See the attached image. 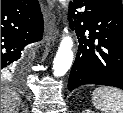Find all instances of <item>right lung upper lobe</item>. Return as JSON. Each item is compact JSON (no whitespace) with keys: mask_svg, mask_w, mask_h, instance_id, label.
Listing matches in <instances>:
<instances>
[{"mask_svg":"<svg viewBox=\"0 0 123 113\" xmlns=\"http://www.w3.org/2000/svg\"><path fill=\"white\" fill-rule=\"evenodd\" d=\"M9 0H1V4L8 2Z\"/></svg>","mask_w":123,"mask_h":113,"instance_id":"obj_1","label":"right lung upper lobe"}]
</instances>
